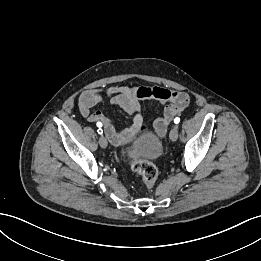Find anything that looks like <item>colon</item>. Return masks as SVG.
I'll return each mask as SVG.
<instances>
[{"label":"colon","instance_id":"1","mask_svg":"<svg viewBox=\"0 0 261 261\" xmlns=\"http://www.w3.org/2000/svg\"><path fill=\"white\" fill-rule=\"evenodd\" d=\"M130 166L131 169L142 178L144 187L146 189H151L155 185L158 177V170L151 161H132Z\"/></svg>","mask_w":261,"mask_h":261}]
</instances>
